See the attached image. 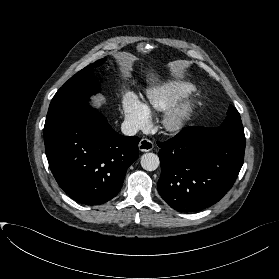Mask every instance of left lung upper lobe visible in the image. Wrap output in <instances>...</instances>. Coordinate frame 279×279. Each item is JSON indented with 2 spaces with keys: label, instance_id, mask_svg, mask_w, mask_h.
Segmentation results:
<instances>
[{
  "label": "left lung upper lobe",
  "instance_id": "5c2ea615",
  "mask_svg": "<svg viewBox=\"0 0 279 279\" xmlns=\"http://www.w3.org/2000/svg\"><path fill=\"white\" fill-rule=\"evenodd\" d=\"M218 127L228 129V130L233 131V132H235L239 135L244 136L243 125H242V122H241L240 114L236 110V108L232 105L229 106V109H228V112H227V118Z\"/></svg>",
  "mask_w": 279,
  "mask_h": 279
}]
</instances>
